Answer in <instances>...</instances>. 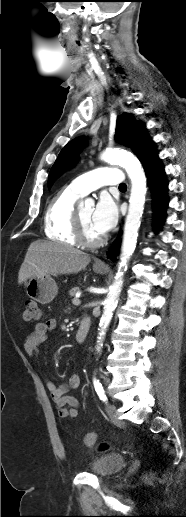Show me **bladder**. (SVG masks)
Instances as JSON below:
<instances>
[{"label":"bladder","instance_id":"obj_1","mask_svg":"<svg viewBox=\"0 0 186 517\" xmlns=\"http://www.w3.org/2000/svg\"><path fill=\"white\" fill-rule=\"evenodd\" d=\"M126 464V457L120 454H109L98 458L92 464V473L106 477L120 471Z\"/></svg>","mask_w":186,"mask_h":517}]
</instances>
